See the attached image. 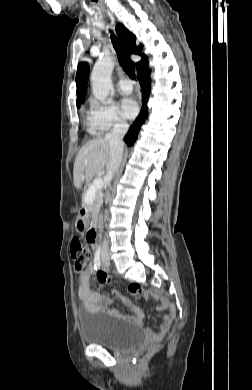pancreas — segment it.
Returning a JSON list of instances; mask_svg holds the SVG:
<instances>
[{
    "label": "pancreas",
    "mask_w": 252,
    "mask_h": 390,
    "mask_svg": "<svg viewBox=\"0 0 252 390\" xmlns=\"http://www.w3.org/2000/svg\"><path fill=\"white\" fill-rule=\"evenodd\" d=\"M101 197H102L101 193H100L99 191H97V192L95 193V195H94L93 204H90L89 202H86V201H85V197H83V201H84V203L86 204V206H88L91 210L94 211L96 205L100 202Z\"/></svg>",
    "instance_id": "1"
}]
</instances>
